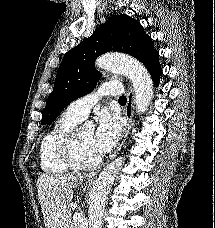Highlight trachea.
<instances>
[{
    "label": "trachea",
    "instance_id": "3493384b",
    "mask_svg": "<svg viewBox=\"0 0 215 228\" xmlns=\"http://www.w3.org/2000/svg\"><path fill=\"white\" fill-rule=\"evenodd\" d=\"M126 102H127V99L125 96L122 95L119 97V103H126Z\"/></svg>",
    "mask_w": 215,
    "mask_h": 228
}]
</instances>
